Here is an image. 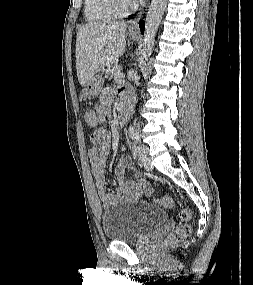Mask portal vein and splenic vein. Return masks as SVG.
Returning a JSON list of instances; mask_svg holds the SVG:
<instances>
[{
	"mask_svg": "<svg viewBox=\"0 0 253 285\" xmlns=\"http://www.w3.org/2000/svg\"><path fill=\"white\" fill-rule=\"evenodd\" d=\"M124 77H125V75L122 72H118L117 74H115L114 80L117 81V80L122 79Z\"/></svg>",
	"mask_w": 253,
	"mask_h": 285,
	"instance_id": "obj_1",
	"label": "portal vein and splenic vein"
}]
</instances>
